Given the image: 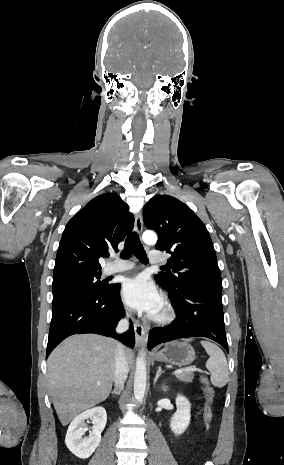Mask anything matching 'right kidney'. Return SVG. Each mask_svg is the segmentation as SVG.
Segmentation results:
<instances>
[{
	"mask_svg": "<svg viewBox=\"0 0 284 465\" xmlns=\"http://www.w3.org/2000/svg\"><path fill=\"white\" fill-rule=\"evenodd\" d=\"M86 419H92L93 427L89 433V437H84L83 429ZM107 423V415L103 407H94L89 411H84L78 417L73 419L67 431L65 443L76 457L79 459H88L95 449H97L101 441V433Z\"/></svg>",
	"mask_w": 284,
	"mask_h": 465,
	"instance_id": "1",
	"label": "right kidney"
}]
</instances>
